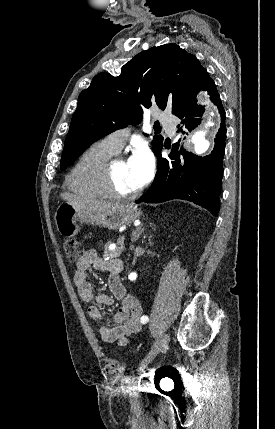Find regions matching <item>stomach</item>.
<instances>
[{
    "label": "stomach",
    "mask_w": 275,
    "mask_h": 429,
    "mask_svg": "<svg viewBox=\"0 0 275 429\" xmlns=\"http://www.w3.org/2000/svg\"><path fill=\"white\" fill-rule=\"evenodd\" d=\"M140 215L141 211L131 204H118L104 211L87 212L64 203L58 206L54 219L58 232L72 237L80 232V224L99 225L114 230L131 224Z\"/></svg>",
    "instance_id": "0dacf381"
}]
</instances>
